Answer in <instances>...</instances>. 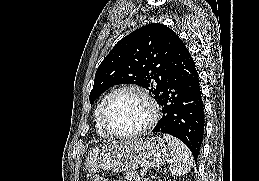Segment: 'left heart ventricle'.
<instances>
[{
  "label": "left heart ventricle",
  "mask_w": 259,
  "mask_h": 181,
  "mask_svg": "<svg viewBox=\"0 0 259 181\" xmlns=\"http://www.w3.org/2000/svg\"><path fill=\"white\" fill-rule=\"evenodd\" d=\"M150 117V108L143 97L133 91H126L112 101L107 121L112 130L127 133L143 127Z\"/></svg>",
  "instance_id": "1"
}]
</instances>
